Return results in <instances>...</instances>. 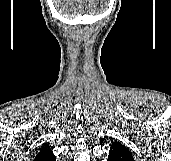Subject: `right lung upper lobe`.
Wrapping results in <instances>:
<instances>
[{
    "label": "right lung upper lobe",
    "mask_w": 171,
    "mask_h": 161,
    "mask_svg": "<svg viewBox=\"0 0 171 161\" xmlns=\"http://www.w3.org/2000/svg\"><path fill=\"white\" fill-rule=\"evenodd\" d=\"M34 161H56V157L51 151L49 144H43L42 148H40V151L36 154Z\"/></svg>",
    "instance_id": "obj_1"
}]
</instances>
